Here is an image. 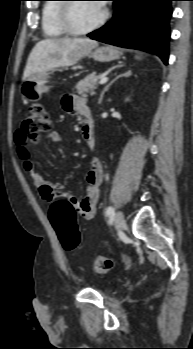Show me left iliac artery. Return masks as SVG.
<instances>
[{"label":"left iliac artery","mask_w":193,"mask_h":349,"mask_svg":"<svg viewBox=\"0 0 193 349\" xmlns=\"http://www.w3.org/2000/svg\"><path fill=\"white\" fill-rule=\"evenodd\" d=\"M114 214V208L113 207H108L106 209V215H111Z\"/></svg>","instance_id":"left-iliac-artery-1"}]
</instances>
